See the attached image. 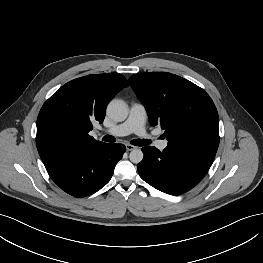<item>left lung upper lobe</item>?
<instances>
[{
  "label": "left lung upper lobe",
  "instance_id": "1",
  "mask_svg": "<svg viewBox=\"0 0 263 263\" xmlns=\"http://www.w3.org/2000/svg\"><path fill=\"white\" fill-rule=\"evenodd\" d=\"M129 82L144 104L150 123L165 130L168 145L216 155L218 113L202 88L168 72L135 74Z\"/></svg>",
  "mask_w": 263,
  "mask_h": 263
}]
</instances>
